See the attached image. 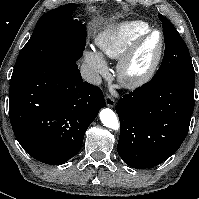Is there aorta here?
Here are the masks:
<instances>
[{"label":"aorta","mask_w":199,"mask_h":199,"mask_svg":"<svg viewBox=\"0 0 199 199\" xmlns=\"http://www.w3.org/2000/svg\"><path fill=\"white\" fill-rule=\"evenodd\" d=\"M100 120L104 126L113 130L119 129V121L115 112L109 108L102 109L100 111Z\"/></svg>","instance_id":"obj_1"}]
</instances>
